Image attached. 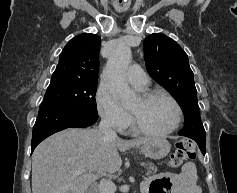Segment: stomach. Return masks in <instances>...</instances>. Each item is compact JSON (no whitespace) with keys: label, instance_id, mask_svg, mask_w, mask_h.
<instances>
[{"label":"stomach","instance_id":"0dacf381","mask_svg":"<svg viewBox=\"0 0 237 193\" xmlns=\"http://www.w3.org/2000/svg\"><path fill=\"white\" fill-rule=\"evenodd\" d=\"M171 145L165 138H152L148 142L139 147L141 153L146 157L154 160H159L168 155Z\"/></svg>","mask_w":237,"mask_h":193}]
</instances>
